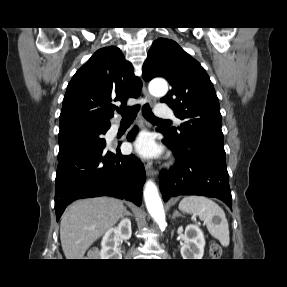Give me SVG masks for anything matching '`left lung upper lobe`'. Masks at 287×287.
<instances>
[{"label":"left lung upper lobe","instance_id":"left-lung-upper-lobe-1","mask_svg":"<svg viewBox=\"0 0 287 287\" xmlns=\"http://www.w3.org/2000/svg\"><path fill=\"white\" fill-rule=\"evenodd\" d=\"M164 77L171 90L160 99L183 123L161 130L180 148H199L225 158L219 100L198 61L175 41L158 38L143 65V78Z\"/></svg>","mask_w":287,"mask_h":287}]
</instances>
